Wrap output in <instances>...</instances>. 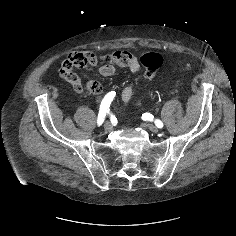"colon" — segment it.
I'll return each mask as SVG.
<instances>
[{
  "label": "colon",
  "mask_w": 236,
  "mask_h": 236,
  "mask_svg": "<svg viewBox=\"0 0 236 236\" xmlns=\"http://www.w3.org/2000/svg\"><path fill=\"white\" fill-rule=\"evenodd\" d=\"M140 62L145 68V76L147 79L151 80L157 70L162 66L163 64V57L157 53V52H145L140 57ZM190 63H184L183 69L189 70L191 69ZM72 68L71 64L67 61L63 62L61 65L60 73L61 75H64L66 72H68Z\"/></svg>",
  "instance_id": "5ec220e1"
}]
</instances>
